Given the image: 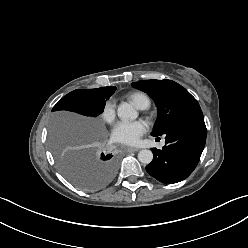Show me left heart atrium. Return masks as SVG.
Instances as JSON below:
<instances>
[{"label":"left heart atrium","mask_w":248,"mask_h":248,"mask_svg":"<svg viewBox=\"0 0 248 248\" xmlns=\"http://www.w3.org/2000/svg\"><path fill=\"white\" fill-rule=\"evenodd\" d=\"M145 131L146 125L142 121H120L114 126L111 137L115 142L135 145Z\"/></svg>","instance_id":"39dd6f15"}]
</instances>
